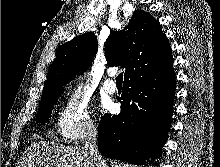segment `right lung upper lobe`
I'll list each match as a JSON object with an SVG mask.
<instances>
[{"instance_id": "1", "label": "right lung upper lobe", "mask_w": 220, "mask_h": 167, "mask_svg": "<svg viewBox=\"0 0 220 167\" xmlns=\"http://www.w3.org/2000/svg\"><path fill=\"white\" fill-rule=\"evenodd\" d=\"M98 43L93 32L74 37L62 44L48 70L41 101L62 91L78 70H86L94 59ZM108 66L124 67V78L172 61L168 39L160 23L149 13L136 10L128 25L110 33L105 43Z\"/></svg>"}]
</instances>
